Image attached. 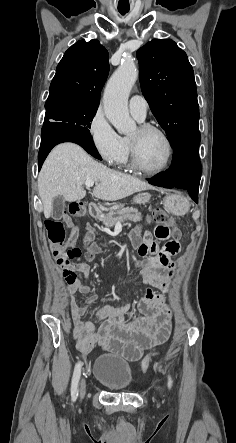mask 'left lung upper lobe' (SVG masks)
<instances>
[{
    "instance_id": "left-lung-upper-lobe-1",
    "label": "left lung upper lobe",
    "mask_w": 236,
    "mask_h": 443,
    "mask_svg": "<svg viewBox=\"0 0 236 443\" xmlns=\"http://www.w3.org/2000/svg\"><path fill=\"white\" fill-rule=\"evenodd\" d=\"M142 93L172 147L199 134L194 72L186 53L170 39H153L137 51Z\"/></svg>"
}]
</instances>
